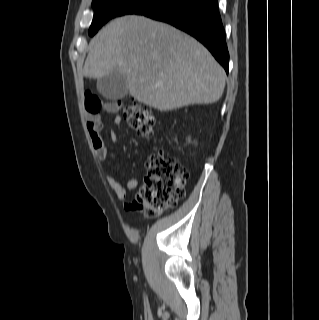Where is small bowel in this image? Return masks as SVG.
Here are the masks:
<instances>
[{
  "label": "small bowel",
  "instance_id": "obj_1",
  "mask_svg": "<svg viewBox=\"0 0 319 320\" xmlns=\"http://www.w3.org/2000/svg\"><path fill=\"white\" fill-rule=\"evenodd\" d=\"M101 101L98 97L94 96L90 92H85V111L87 115V129L94 149L98 157L106 161L108 165H111L108 161V147L101 135L103 130V123L101 119ZM107 111L114 113L113 122L115 125H120L122 120L117 114V109L114 104L107 105ZM110 138L112 141L117 140L116 132L112 131L110 133ZM106 181L111 189L115 192L118 198H124L127 191L135 190L138 186V180L136 178H130L126 185H123L113 176L108 175Z\"/></svg>",
  "mask_w": 319,
  "mask_h": 320
}]
</instances>
